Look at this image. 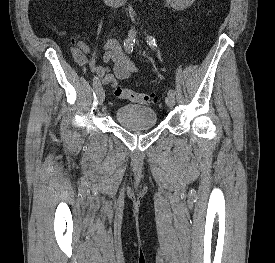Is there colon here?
Instances as JSON below:
<instances>
[{"instance_id":"5ec220e1","label":"colon","mask_w":275,"mask_h":263,"mask_svg":"<svg viewBox=\"0 0 275 263\" xmlns=\"http://www.w3.org/2000/svg\"><path fill=\"white\" fill-rule=\"evenodd\" d=\"M116 97L142 105H150L156 102V97L152 93L136 92L130 88L117 86L114 90Z\"/></svg>"}]
</instances>
